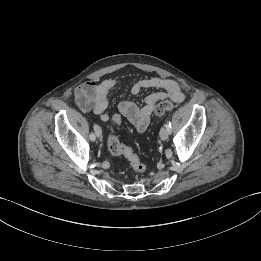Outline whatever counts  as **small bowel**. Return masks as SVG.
Instances as JSON below:
<instances>
[{"label": "small bowel", "mask_w": 261, "mask_h": 261, "mask_svg": "<svg viewBox=\"0 0 261 261\" xmlns=\"http://www.w3.org/2000/svg\"><path fill=\"white\" fill-rule=\"evenodd\" d=\"M119 84V81L114 78L85 82L75 89L76 104L82 111L93 112L99 115L101 121L107 122L111 119V116L105 112L108 106V97ZM144 89H154L155 91L148 95L141 105L130 99L122 100L118 105L121 115L128 119L138 132H144L147 129L151 114L158 101L169 98L180 103L185 99V94L179 83L169 78L140 79L132 85L131 93L137 95ZM115 116L120 115H113V117Z\"/></svg>", "instance_id": "small-bowel-1"}]
</instances>
